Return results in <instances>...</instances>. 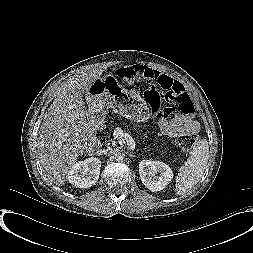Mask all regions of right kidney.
Here are the masks:
<instances>
[{"instance_id":"ca27d5eb","label":"right kidney","mask_w":253,"mask_h":253,"mask_svg":"<svg viewBox=\"0 0 253 253\" xmlns=\"http://www.w3.org/2000/svg\"><path fill=\"white\" fill-rule=\"evenodd\" d=\"M101 161L91 157L74 164L67 173L68 181L78 188H88L94 185L100 175Z\"/></svg>"}]
</instances>
